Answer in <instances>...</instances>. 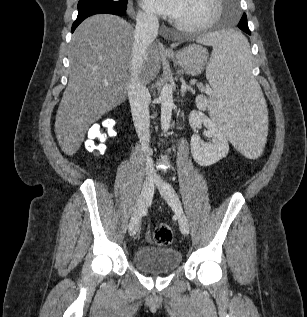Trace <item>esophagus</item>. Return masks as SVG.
<instances>
[{
	"mask_svg": "<svg viewBox=\"0 0 307 317\" xmlns=\"http://www.w3.org/2000/svg\"><path fill=\"white\" fill-rule=\"evenodd\" d=\"M164 51H165L166 53H171V52H172V50H171L170 48H165Z\"/></svg>",
	"mask_w": 307,
	"mask_h": 317,
	"instance_id": "34e87169",
	"label": "esophagus"
}]
</instances>
